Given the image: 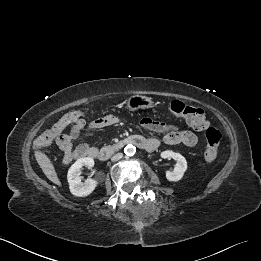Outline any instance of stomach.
Instances as JSON below:
<instances>
[{"mask_svg":"<svg viewBox=\"0 0 261 261\" xmlns=\"http://www.w3.org/2000/svg\"><path fill=\"white\" fill-rule=\"evenodd\" d=\"M154 102L151 97L143 95H133L126 100V107L131 111L152 108Z\"/></svg>","mask_w":261,"mask_h":261,"instance_id":"obj_1","label":"stomach"}]
</instances>
